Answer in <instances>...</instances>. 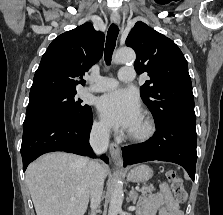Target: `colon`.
<instances>
[{
	"label": "colon",
	"instance_id": "obj_1",
	"mask_svg": "<svg viewBox=\"0 0 223 215\" xmlns=\"http://www.w3.org/2000/svg\"><path fill=\"white\" fill-rule=\"evenodd\" d=\"M166 178L171 183L176 202L178 204H184L187 199V193L184 189L182 179L174 170H168L166 172Z\"/></svg>",
	"mask_w": 223,
	"mask_h": 215
}]
</instances>
